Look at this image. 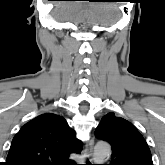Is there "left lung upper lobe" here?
Wrapping results in <instances>:
<instances>
[{"label": "left lung upper lobe", "mask_w": 165, "mask_h": 165, "mask_svg": "<svg viewBox=\"0 0 165 165\" xmlns=\"http://www.w3.org/2000/svg\"><path fill=\"white\" fill-rule=\"evenodd\" d=\"M96 137L112 147L110 165H153L148 145L129 121L108 113L95 130Z\"/></svg>", "instance_id": "left-lung-upper-lobe-1"}]
</instances>
